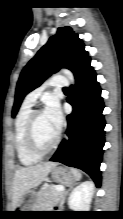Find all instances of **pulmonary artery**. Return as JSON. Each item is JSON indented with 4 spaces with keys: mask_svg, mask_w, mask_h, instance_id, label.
<instances>
[{
    "mask_svg": "<svg viewBox=\"0 0 123 219\" xmlns=\"http://www.w3.org/2000/svg\"><path fill=\"white\" fill-rule=\"evenodd\" d=\"M68 84H69V81L66 77L61 76V75L53 76L44 84V86L30 92L25 97L24 103L33 105L45 87L50 86V87H56V88H64V87H67Z\"/></svg>",
    "mask_w": 123,
    "mask_h": 219,
    "instance_id": "e3ab8cb5",
    "label": "pulmonary artery"
}]
</instances>
